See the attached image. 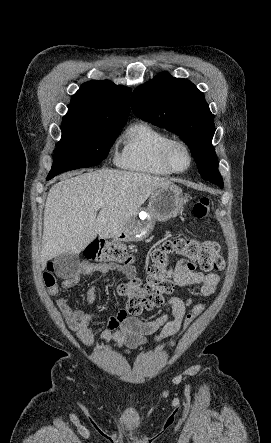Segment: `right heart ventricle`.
<instances>
[{"label": "right heart ventricle", "instance_id": "1", "mask_svg": "<svg viewBox=\"0 0 271 443\" xmlns=\"http://www.w3.org/2000/svg\"><path fill=\"white\" fill-rule=\"evenodd\" d=\"M169 138L168 133L152 123L138 121L123 132L116 162L124 169L141 173L173 175L162 158V148Z\"/></svg>", "mask_w": 271, "mask_h": 443}]
</instances>
